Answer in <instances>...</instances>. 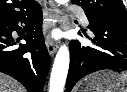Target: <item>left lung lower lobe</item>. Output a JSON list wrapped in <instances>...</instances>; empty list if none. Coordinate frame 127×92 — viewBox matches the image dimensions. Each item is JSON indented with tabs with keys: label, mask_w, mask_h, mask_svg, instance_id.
Wrapping results in <instances>:
<instances>
[{
	"label": "left lung lower lobe",
	"mask_w": 127,
	"mask_h": 92,
	"mask_svg": "<svg viewBox=\"0 0 127 92\" xmlns=\"http://www.w3.org/2000/svg\"><path fill=\"white\" fill-rule=\"evenodd\" d=\"M87 16V15H86ZM94 34L92 46L70 42V66L66 91L84 76L103 69L127 70V21L87 16Z\"/></svg>",
	"instance_id": "obj_1"
}]
</instances>
